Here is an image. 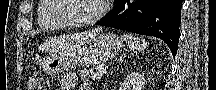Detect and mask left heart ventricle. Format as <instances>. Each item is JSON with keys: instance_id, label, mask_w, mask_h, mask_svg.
<instances>
[{"instance_id": "1", "label": "left heart ventricle", "mask_w": 216, "mask_h": 90, "mask_svg": "<svg viewBox=\"0 0 216 90\" xmlns=\"http://www.w3.org/2000/svg\"><path fill=\"white\" fill-rule=\"evenodd\" d=\"M68 1L69 9L61 13L66 21H84L99 12L101 2L99 0H63Z\"/></svg>"}]
</instances>
